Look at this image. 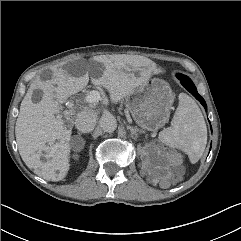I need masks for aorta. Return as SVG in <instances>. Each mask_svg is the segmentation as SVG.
<instances>
[{
  "instance_id": "aorta-1",
  "label": "aorta",
  "mask_w": 241,
  "mask_h": 241,
  "mask_svg": "<svg viewBox=\"0 0 241 241\" xmlns=\"http://www.w3.org/2000/svg\"><path fill=\"white\" fill-rule=\"evenodd\" d=\"M99 125L104 132L110 133L117 128V120L112 114L106 113L100 118Z\"/></svg>"
}]
</instances>
